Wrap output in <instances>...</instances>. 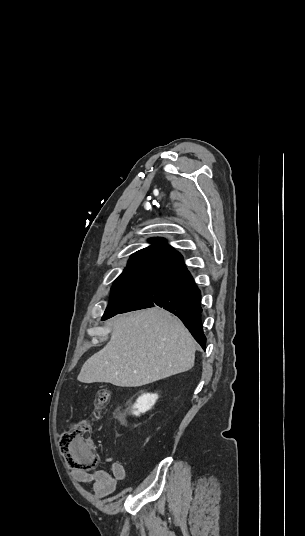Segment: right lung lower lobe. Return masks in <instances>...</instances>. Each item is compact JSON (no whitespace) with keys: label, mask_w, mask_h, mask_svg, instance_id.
Here are the masks:
<instances>
[{"label":"right lung lower lobe","mask_w":305,"mask_h":536,"mask_svg":"<svg viewBox=\"0 0 305 536\" xmlns=\"http://www.w3.org/2000/svg\"><path fill=\"white\" fill-rule=\"evenodd\" d=\"M201 292L187 269L164 278L159 284L141 296L127 308L116 313L154 307H163L178 316L205 350L206 337L201 323ZM116 314L103 317L102 320Z\"/></svg>","instance_id":"obj_1"}]
</instances>
